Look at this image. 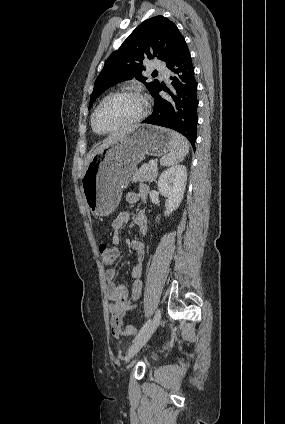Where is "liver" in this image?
<instances>
[{"label": "liver", "instance_id": "1", "mask_svg": "<svg viewBox=\"0 0 285 424\" xmlns=\"http://www.w3.org/2000/svg\"><path fill=\"white\" fill-rule=\"evenodd\" d=\"M132 129H129L126 132H122V133H117V134H112L109 137H107L102 144H100L99 146H97L95 149L91 150L90 153L87 156V160L90 161L97 153L101 152L104 148H106L107 146L115 143L118 141V139H120L121 137L125 136L126 134H128Z\"/></svg>", "mask_w": 285, "mask_h": 424}]
</instances>
